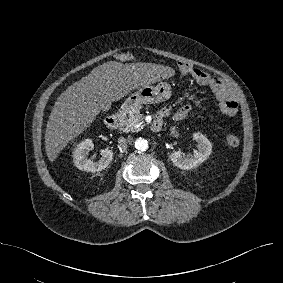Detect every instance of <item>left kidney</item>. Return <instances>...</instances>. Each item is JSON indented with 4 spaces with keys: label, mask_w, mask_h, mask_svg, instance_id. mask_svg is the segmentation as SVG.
Here are the masks:
<instances>
[{
    "label": "left kidney",
    "mask_w": 283,
    "mask_h": 283,
    "mask_svg": "<svg viewBox=\"0 0 283 283\" xmlns=\"http://www.w3.org/2000/svg\"><path fill=\"white\" fill-rule=\"evenodd\" d=\"M193 140L198 143V150L193 151V155L183 158L180 150L173 151L170 155L172 163L180 169L190 170L203 163L212 152V143L202 133H194Z\"/></svg>",
    "instance_id": "left-kidney-1"
}]
</instances>
